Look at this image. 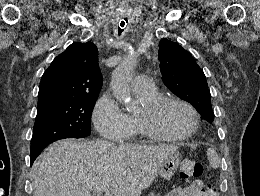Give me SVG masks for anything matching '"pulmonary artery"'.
<instances>
[{
  "label": "pulmonary artery",
  "mask_w": 260,
  "mask_h": 196,
  "mask_svg": "<svg viewBox=\"0 0 260 196\" xmlns=\"http://www.w3.org/2000/svg\"><path fill=\"white\" fill-rule=\"evenodd\" d=\"M140 84H150V79H148L147 76H142L141 79H135V81L132 82L133 89L139 91H145V90H150L152 88V86L150 85H140Z\"/></svg>",
  "instance_id": "1"
}]
</instances>
